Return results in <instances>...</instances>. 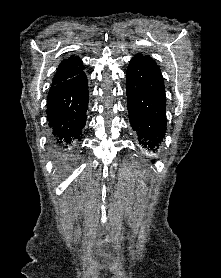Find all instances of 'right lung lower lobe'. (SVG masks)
<instances>
[{
    "instance_id": "obj_1",
    "label": "right lung lower lobe",
    "mask_w": 221,
    "mask_h": 278,
    "mask_svg": "<svg viewBox=\"0 0 221 278\" xmlns=\"http://www.w3.org/2000/svg\"><path fill=\"white\" fill-rule=\"evenodd\" d=\"M88 109V83L84 72L52 85L47 97L50 134L61 155L80 140Z\"/></svg>"
}]
</instances>
